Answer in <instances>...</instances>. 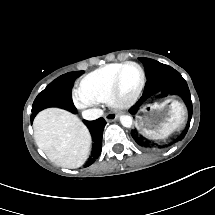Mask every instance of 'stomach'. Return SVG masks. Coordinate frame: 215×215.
Instances as JSON below:
<instances>
[{
	"label": "stomach",
	"instance_id": "stomach-1",
	"mask_svg": "<svg viewBox=\"0 0 215 215\" xmlns=\"http://www.w3.org/2000/svg\"><path fill=\"white\" fill-rule=\"evenodd\" d=\"M184 121L185 111L181 103L167 99L143 107L136 116L135 126L144 136L162 140L182 127Z\"/></svg>",
	"mask_w": 215,
	"mask_h": 215
}]
</instances>
